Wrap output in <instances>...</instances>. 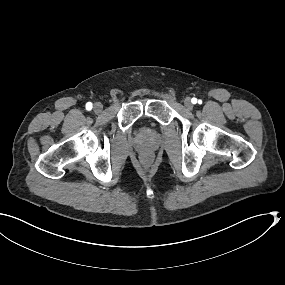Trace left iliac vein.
Here are the masks:
<instances>
[{
    "instance_id": "4c4485c4",
    "label": "left iliac vein",
    "mask_w": 285,
    "mask_h": 285,
    "mask_svg": "<svg viewBox=\"0 0 285 285\" xmlns=\"http://www.w3.org/2000/svg\"><path fill=\"white\" fill-rule=\"evenodd\" d=\"M184 105L188 110H192L193 109V104L192 101L189 97L185 98L184 100Z\"/></svg>"
}]
</instances>
